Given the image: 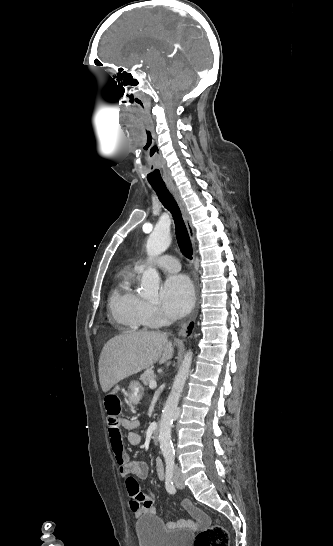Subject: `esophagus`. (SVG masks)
<instances>
[{
  "label": "esophagus",
  "instance_id": "34e87169",
  "mask_svg": "<svg viewBox=\"0 0 333 546\" xmlns=\"http://www.w3.org/2000/svg\"><path fill=\"white\" fill-rule=\"evenodd\" d=\"M168 188L170 190V192L173 194L181 212H182V216H183V219L185 221V224H186V227H187V230H188V233H189V236L192 240H194V228H193V225L191 223V219H190V216H189V213L187 211V208L185 206V203L183 201V199L181 198L178 190L176 189V187L173 185V184H168ZM197 311H198V306L195 307L194 309V312L192 314V318H195L197 316Z\"/></svg>",
  "mask_w": 333,
  "mask_h": 546
}]
</instances>
